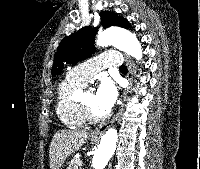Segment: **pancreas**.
<instances>
[{"instance_id":"1","label":"pancreas","mask_w":200,"mask_h":169,"mask_svg":"<svg viewBox=\"0 0 200 169\" xmlns=\"http://www.w3.org/2000/svg\"><path fill=\"white\" fill-rule=\"evenodd\" d=\"M80 158H73L67 169H78Z\"/></svg>"}]
</instances>
